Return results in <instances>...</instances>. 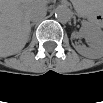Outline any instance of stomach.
<instances>
[{"mask_svg":"<svg viewBox=\"0 0 103 103\" xmlns=\"http://www.w3.org/2000/svg\"><path fill=\"white\" fill-rule=\"evenodd\" d=\"M75 6L79 12H82V11H90L92 4L90 2H79L76 3Z\"/></svg>","mask_w":103,"mask_h":103,"instance_id":"1","label":"stomach"}]
</instances>
